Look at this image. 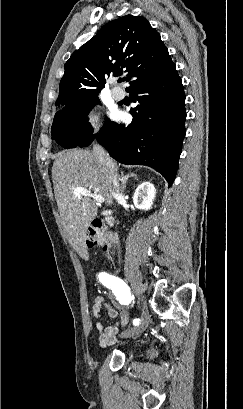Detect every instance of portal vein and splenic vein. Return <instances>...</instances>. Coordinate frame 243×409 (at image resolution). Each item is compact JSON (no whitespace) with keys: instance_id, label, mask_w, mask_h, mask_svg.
<instances>
[{"instance_id":"1","label":"portal vein and splenic vein","mask_w":243,"mask_h":409,"mask_svg":"<svg viewBox=\"0 0 243 409\" xmlns=\"http://www.w3.org/2000/svg\"><path fill=\"white\" fill-rule=\"evenodd\" d=\"M74 195L76 197H80V196H84L87 198H93L94 201L98 202V203H103L104 202V197L100 194H93L91 193L89 190H87L84 187H77L74 190Z\"/></svg>"}]
</instances>
